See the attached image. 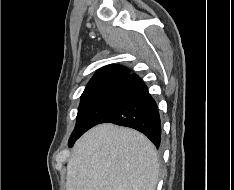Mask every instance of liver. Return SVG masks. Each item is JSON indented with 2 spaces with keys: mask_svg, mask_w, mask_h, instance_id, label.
I'll use <instances>...</instances> for the list:
<instances>
[{
  "mask_svg": "<svg viewBox=\"0 0 234 190\" xmlns=\"http://www.w3.org/2000/svg\"><path fill=\"white\" fill-rule=\"evenodd\" d=\"M159 163L142 133L101 124L75 144L67 164L66 190H155Z\"/></svg>",
  "mask_w": 234,
  "mask_h": 190,
  "instance_id": "obj_1",
  "label": "liver"
}]
</instances>
